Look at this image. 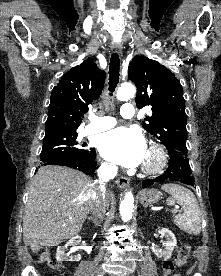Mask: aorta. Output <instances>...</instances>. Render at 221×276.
I'll return each instance as SVG.
<instances>
[{"instance_id":"1","label":"aorta","mask_w":221,"mask_h":276,"mask_svg":"<svg viewBox=\"0 0 221 276\" xmlns=\"http://www.w3.org/2000/svg\"><path fill=\"white\" fill-rule=\"evenodd\" d=\"M136 89L131 84L121 85L116 93L118 100L126 101L134 97ZM134 209V197L132 192H126L124 199L120 203V215L124 222L132 219Z\"/></svg>"}]
</instances>
